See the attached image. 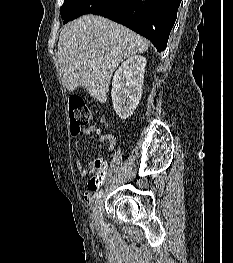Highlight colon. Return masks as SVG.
I'll use <instances>...</instances> for the list:
<instances>
[{
	"instance_id": "5ec220e1",
	"label": "colon",
	"mask_w": 233,
	"mask_h": 263,
	"mask_svg": "<svg viewBox=\"0 0 233 263\" xmlns=\"http://www.w3.org/2000/svg\"><path fill=\"white\" fill-rule=\"evenodd\" d=\"M69 117L71 124V131L74 136L78 135L83 128L93 123L94 118L85 102L78 98H72L69 101ZM98 171H95V176L88 182L89 189H101V184L107 180L105 162L100 160L97 162Z\"/></svg>"
}]
</instances>
